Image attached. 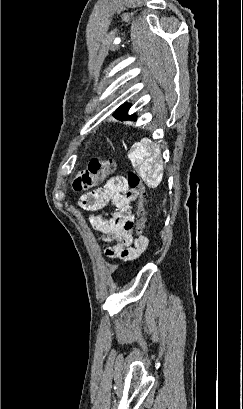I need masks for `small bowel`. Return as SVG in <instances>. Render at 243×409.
Wrapping results in <instances>:
<instances>
[{"label": "small bowel", "instance_id": "1", "mask_svg": "<svg viewBox=\"0 0 243 409\" xmlns=\"http://www.w3.org/2000/svg\"><path fill=\"white\" fill-rule=\"evenodd\" d=\"M137 197V191L130 189L124 178L116 177L81 198V205L89 210L100 209L110 202L116 207L109 218L98 215L89 218L91 226L102 234L103 241L115 242V245L104 250L109 258L133 261L141 256L148 246L145 236L139 240L132 232L135 220L132 202Z\"/></svg>", "mask_w": 243, "mask_h": 409}]
</instances>
